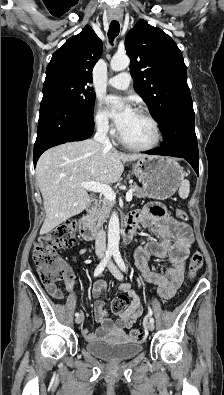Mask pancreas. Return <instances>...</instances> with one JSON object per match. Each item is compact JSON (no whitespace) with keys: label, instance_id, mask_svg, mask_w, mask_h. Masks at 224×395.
<instances>
[{"label":"pancreas","instance_id":"pancreas-1","mask_svg":"<svg viewBox=\"0 0 224 395\" xmlns=\"http://www.w3.org/2000/svg\"><path fill=\"white\" fill-rule=\"evenodd\" d=\"M130 189L134 190L135 192L134 196L137 198H145L148 196L146 192L142 188L138 187L136 184L131 185ZM113 206L114 203L112 201H109L106 198L103 199L102 202L98 205V207L94 210L92 214L93 221L97 225L106 222V219L109 217V213L113 208Z\"/></svg>","mask_w":224,"mask_h":395}]
</instances>
